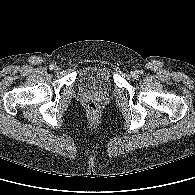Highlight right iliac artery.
I'll use <instances>...</instances> for the list:
<instances>
[{
    "label": "right iliac artery",
    "instance_id": "right-iliac-artery-1",
    "mask_svg": "<svg viewBox=\"0 0 195 195\" xmlns=\"http://www.w3.org/2000/svg\"><path fill=\"white\" fill-rule=\"evenodd\" d=\"M49 69H50V70H53V69H54V65H50V66H49Z\"/></svg>",
    "mask_w": 195,
    "mask_h": 195
}]
</instances>
